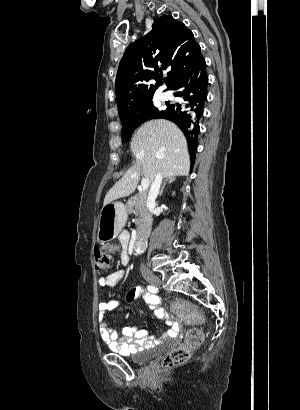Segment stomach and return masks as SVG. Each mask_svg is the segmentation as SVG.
<instances>
[{"label":"stomach","mask_w":300,"mask_h":410,"mask_svg":"<svg viewBox=\"0 0 300 410\" xmlns=\"http://www.w3.org/2000/svg\"><path fill=\"white\" fill-rule=\"evenodd\" d=\"M127 216L126 207L121 202L104 205L100 212L97 239L107 241L116 238L124 227Z\"/></svg>","instance_id":"1"}]
</instances>
